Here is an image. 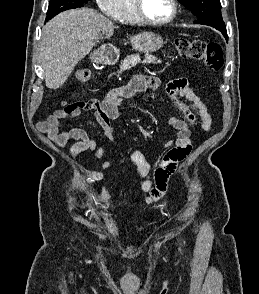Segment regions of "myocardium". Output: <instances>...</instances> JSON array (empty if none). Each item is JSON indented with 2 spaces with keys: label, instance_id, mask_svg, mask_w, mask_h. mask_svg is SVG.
<instances>
[{
  "label": "myocardium",
  "instance_id": "1",
  "mask_svg": "<svg viewBox=\"0 0 259 294\" xmlns=\"http://www.w3.org/2000/svg\"><path fill=\"white\" fill-rule=\"evenodd\" d=\"M143 0H133V6L136 13L137 18L141 23L153 25V26H164L175 20L178 15V3L177 0H170L172 5L171 15L164 20H154L149 18L143 8Z\"/></svg>",
  "mask_w": 259,
  "mask_h": 294
}]
</instances>
